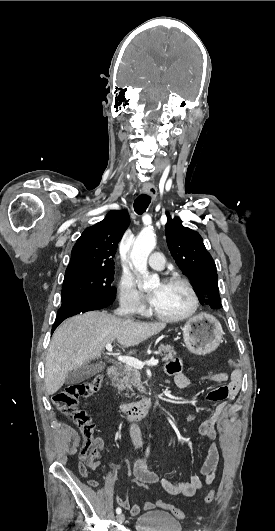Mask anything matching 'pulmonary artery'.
<instances>
[{
	"instance_id": "e3ab8cb5",
	"label": "pulmonary artery",
	"mask_w": 275,
	"mask_h": 531,
	"mask_svg": "<svg viewBox=\"0 0 275 531\" xmlns=\"http://www.w3.org/2000/svg\"><path fill=\"white\" fill-rule=\"evenodd\" d=\"M164 261L165 258L163 254L154 253V255L151 256L150 264L157 274L165 272V269H162L164 267Z\"/></svg>"
}]
</instances>
